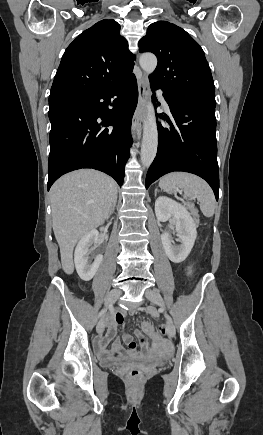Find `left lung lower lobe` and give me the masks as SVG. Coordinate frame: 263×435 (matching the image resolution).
I'll use <instances>...</instances> for the list:
<instances>
[{"label": "left lung lower lobe", "instance_id": "obj_1", "mask_svg": "<svg viewBox=\"0 0 263 435\" xmlns=\"http://www.w3.org/2000/svg\"><path fill=\"white\" fill-rule=\"evenodd\" d=\"M153 89L158 87L151 85ZM169 104L171 127L158 125V151L146 176V188L161 176L184 171L206 180L218 200L219 170L217 163L215 107L174 98L163 92ZM159 117L164 119L162 114Z\"/></svg>", "mask_w": 263, "mask_h": 435}]
</instances>
